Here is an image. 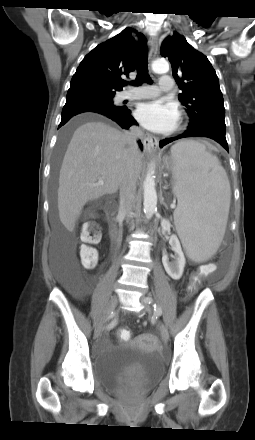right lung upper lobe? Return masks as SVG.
Returning a JSON list of instances; mask_svg holds the SVG:
<instances>
[{"label": "right lung upper lobe", "mask_w": 255, "mask_h": 440, "mask_svg": "<svg viewBox=\"0 0 255 440\" xmlns=\"http://www.w3.org/2000/svg\"><path fill=\"white\" fill-rule=\"evenodd\" d=\"M132 32V28L124 29L84 57L72 77L66 100L122 90L121 75L128 76L135 70V61L146 45V38L142 34H137L136 41Z\"/></svg>", "instance_id": "cb5924a9"}]
</instances>
